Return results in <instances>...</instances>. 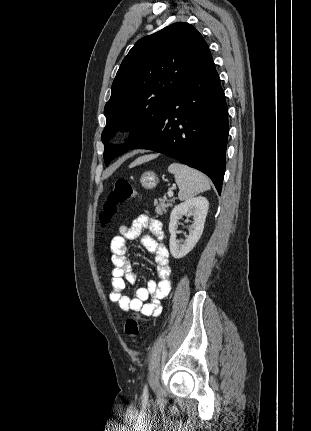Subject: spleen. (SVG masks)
Returning a JSON list of instances; mask_svg holds the SVG:
<instances>
[{"instance_id": "spleen-1", "label": "spleen", "mask_w": 311, "mask_h": 431, "mask_svg": "<svg viewBox=\"0 0 311 431\" xmlns=\"http://www.w3.org/2000/svg\"><path fill=\"white\" fill-rule=\"evenodd\" d=\"M168 172L174 174L175 182L179 188L178 198L181 202L210 190L208 178L193 168H188L183 164H170Z\"/></svg>"}]
</instances>
